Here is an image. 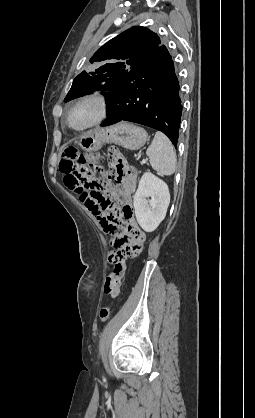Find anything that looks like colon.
I'll list each match as a JSON object with an SVG mask.
<instances>
[{"mask_svg": "<svg viewBox=\"0 0 255 418\" xmlns=\"http://www.w3.org/2000/svg\"><path fill=\"white\" fill-rule=\"evenodd\" d=\"M99 162L98 155L89 156L81 153L75 147H66L59 165L66 187L79 194L80 200L94 215L97 222L109 220L111 227L140 228L133 219H127L122 224L114 221L117 209L112 200L106 196L108 185L96 178L97 171H101ZM104 174L108 177L116 174L113 163H111V170L104 171ZM110 313V306L103 305L99 312L100 320L106 322Z\"/></svg>", "mask_w": 255, "mask_h": 418, "instance_id": "obj_1", "label": "colon"}]
</instances>
